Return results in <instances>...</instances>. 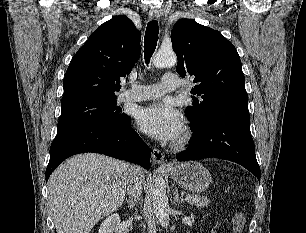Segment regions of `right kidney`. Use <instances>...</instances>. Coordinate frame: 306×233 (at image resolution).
Returning <instances> with one entry per match:
<instances>
[{
	"label": "right kidney",
	"instance_id": "obj_1",
	"mask_svg": "<svg viewBox=\"0 0 306 233\" xmlns=\"http://www.w3.org/2000/svg\"><path fill=\"white\" fill-rule=\"evenodd\" d=\"M120 222L119 215L112 214L102 222L98 233H119Z\"/></svg>",
	"mask_w": 306,
	"mask_h": 233
}]
</instances>
